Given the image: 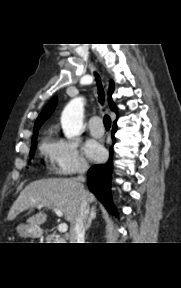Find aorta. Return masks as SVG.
Wrapping results in <instances>:
<instances>
[{"mask_svg": "<svg viewBox=\"0 0 181 288\" xmlns=\"http://www.w3.org/2000/svg\"><path fill=\"white\" fill-rule=\"evenodd\" d=\"M84 115V99L82 97L71 100L61 115V125L67 138L81 134Z\"/></svg>", "mask_w": 181, "mask_h": 288, "instance_id": "aorta-1", "label": "aorta"}]
</instances>
